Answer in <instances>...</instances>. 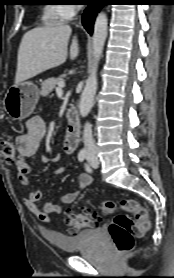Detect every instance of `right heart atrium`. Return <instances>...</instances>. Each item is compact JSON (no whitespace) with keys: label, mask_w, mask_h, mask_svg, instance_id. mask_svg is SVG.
Segmentation results:
<instances>
[{"label":"right heart atrium","mask_w":174,"mask_h":278,"mask_svg":"<svg viewBox=\"0 0 174 278\" xmlns=\"http://www.w3.org/2000/svg\"><path fill=\"white\" fill-rule=\"evenodd\" d=\"M78 5L76 4H64L61 5V13L65 19H71L76 11L78 10Z\"/></svg>","instance_id":"d8ad5b80"}]
</instances>
